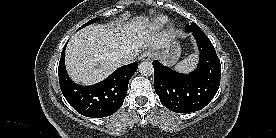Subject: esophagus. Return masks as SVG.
<instances>
[{"instance_id": "obj_1", "label": "esophagus", "mask_w": 276, "mask_h": 138, "mask_svg": "<svg viewBox=\"0 0 276 138\" xmlns=\"http://www.w3.org/2000/svg\"><path fill=\"white\" fill-rule=\"evenodd\" d=\"M153 57H154L153 51L147 50L141 55L140 59L143 61H150Z\"/></svg>"}]
</instances>
